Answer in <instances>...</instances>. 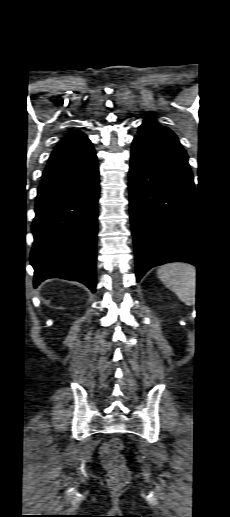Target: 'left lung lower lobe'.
Segmentation results:
<instances>
[{
    "instance_id": "1",
    "label": "left lung lower lobe",
    "mask_w": 230,
    "mask_h": 517,
    "mask_svg": "<svg viewBox=\"0 0 230 517\" xmlns=\"http://www.w3.org/2000/svg\"><path fill=\"white\" fill-rule=\"evenodd\" d=\"M129 194L137 281L164 263L198 267L195 188L188 160L133 142Z\"/></svg>"
}]
</instances>
